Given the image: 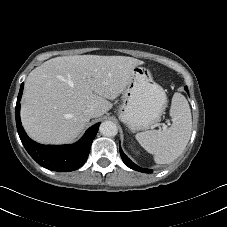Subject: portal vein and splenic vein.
I'll return each mask as SVG.
<instances>
[{"mask_svg": "<svg viewBox=\"0 0 227 227\" xmlns=\"http://www.w3.org/2000/svg\"><path fill=\"white\" fill-rule=\"evenodd\" d=\"M166 128H167V126L164 124V125H163V129H166Z\"/></svg>", "mask_w": 227, "mask_h": 227, "instance_id": "portal-vein-and-splenic-vein-1", "label": "portal vein and splenic vein"}]
</instances>
